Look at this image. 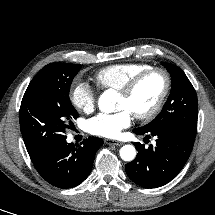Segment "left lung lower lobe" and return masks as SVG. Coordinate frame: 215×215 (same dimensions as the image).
Listing matches in <instances>:
<instances>
[{
    "label": "left lung lower lobe",
    "mask_w": 215,
    "mask_h": 215,
    "mask_svg": "<svg viewBox=\"0 0 215 215\" xmlns=\"http://www.w3.org/2000/svg\"><path fill=\"white\" fill-rule=\"evenodd\" d=\"M139 135L156 137V145L145 148L143 144L134 143L138 151L134 161L125 166L128 177L144 188H156L170 182L183 168L188 160L195 133L174 126L157 129H134Z\"/></svg>",
    "instance_id": "left-lung-lower-lobe-1"
}]
</instances>
